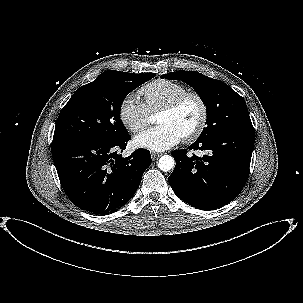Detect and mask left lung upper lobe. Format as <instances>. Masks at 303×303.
<instances>
[{
    "mask_svg": "<svg viewBox=\"0 0 303 303\" xmlns=\"http://www.w3.org/2000/svg\"><path fill=\"white\" fill-rule=\"evenodd\" d=\"M161 78L182 80L194 88L206 105L207 126L198 140L228 132H254L244 99L224 82L184 70L162 75Z\"/></svg>",
    "mask_w": 303,
    "mask_h": 303,
    "instance_id": "1",
    "label": "left lung upper lobe"
}]
</instances>
